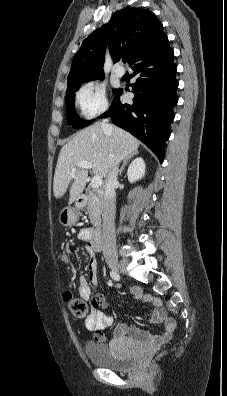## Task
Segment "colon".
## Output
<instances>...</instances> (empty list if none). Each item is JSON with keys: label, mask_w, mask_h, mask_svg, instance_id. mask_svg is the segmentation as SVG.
<instances>
[{"label": "colon", "mask_w": 227, "mask_h": 396, "mask_svg": "<svg viewBox=\"0 0 227 396\" xmlns=\"http://www.w3.org/2000/svg\"><path fill=\"white\" fill-rule=\"evenodd\" d=\"M69 253L64 254V259L69 260ZM63 299L68 304L71 313L77 318H85L87 316L88 308L83 299L75 297L71 290H65Z\"/></svg>", "instance_id": "obj_1"}]
</instances>
